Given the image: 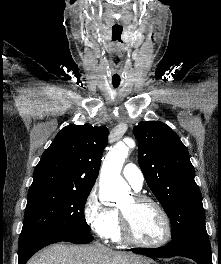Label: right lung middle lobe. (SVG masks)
<instances>
[{
  "label": "right lung middle lobe",
  "instance_id": "obj_1",
  "mask_svg": "<svg viewBox=\"0 0 221 264\" xmlns=\"http://www.w3.org/2000/svg\"><path fill=\"white\" fill-rule=\"evenodd\" d=\"M90 191L61 188L29 191L19 245L41 236L89 234L84 207Z\"/></svg>",
  "mask_w": 221,
  "mask_h": 264
}]
</instances>
